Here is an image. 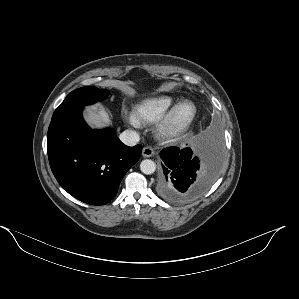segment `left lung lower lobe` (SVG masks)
Listing matches in <instances>:
<instances>
[{
  "mask_svg": "<svg viewBox=\"0 0 299 299\" xmlns=\"http://www.w3.org/2000/svg\"><path fill=\"white\" fill-rule=\"evenodd\" d=\"M160 157L163 163L157 192L175 203L193 200L205 192L215 181L222 162L218 140L201 139L183 149L168 147Z\"/></svg>",
  "mask_w": 299,
  "mask_h": 299,
  "instance_id": "0a47b994",
  "label": "left lung lower lobe"
}]
</instances>
